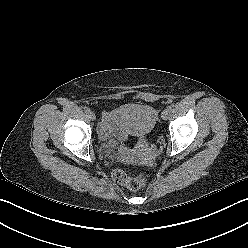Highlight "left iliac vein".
I'll list each match as a JSON object with an SVG mask.
<instances>
[{"label": "left iliac vein", "instance_id": "1", "mask_svg": "<svg viewBox=\"0 0 248 248\" xmlns=\"http://www.w3.org/2000/svg\"><path fill=\"white\" fill-rule=\"evenodd\" d=\"M170 114V110L168 108L164 109L161 113L162 119L166 120Z\"/></svg>", "mask_w": 248, "mask_h": 248}]
</instances>
